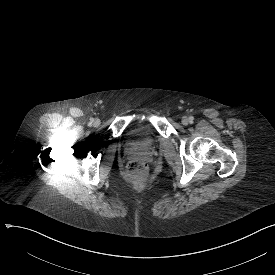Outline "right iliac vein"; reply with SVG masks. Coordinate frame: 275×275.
Segmentation results:
<instances>
[{
    "label": "right iliac vein",
    "instance_id": "obj_1",
    "mask_svg": "<svg viewBox=\"0 0 275 275\" xmlns=\"http://www.w3.org/2000/svg\"><path fill=\"white\" fill-rule=\"evenodd\" d=\"M100 124H101V122H100V120H98V119H96V120L93 122L94 127H98Z\"/></svg>",
    "mask_w": 275,
    "mask_h": 275
}]
</instances>
